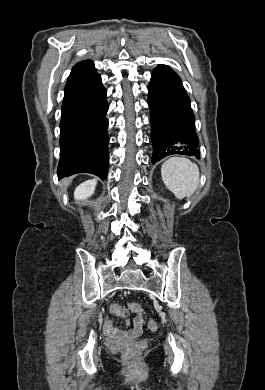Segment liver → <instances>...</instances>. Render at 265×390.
Segmentation results:
<instances>
[{"label": "liver", "mask_w": 265, "mask_h": 390, "mask_svg": "<svg viewBox=\"0 0 265 390\" xmlns=\"http://www.w3.org/2000/svg\"><path fill=\"white\" fill-rule=\"evenodd\" d=\"M70 183H71V179H64V180H63V185H64L65 187H67Z\"/></svg>", "instance_id": "obj_1"}]
</instances>
